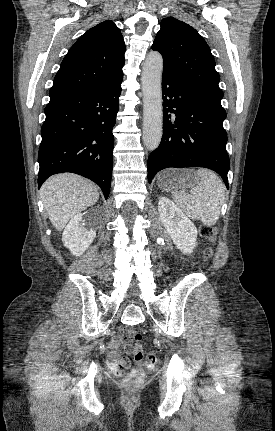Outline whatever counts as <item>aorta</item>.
I'll list each match as a JSON object with an SVG mask.
<instances>
[{"instance_id":"762f6f07","label":"aorta","mask_w":275,"mask_h":431,"mask_svg":"<svg viewBox=\"0 0 275 431\" xmlns=\"http://www.w3.org/2000/svg\"><path fill=\"white\" fill-rule=\"evenodd\" d=\"M162 71V55L157 51H151L143 64L141 77L143 91V142L150 151L158 148L162 138Z\"/></svg>"}]
</instances>
